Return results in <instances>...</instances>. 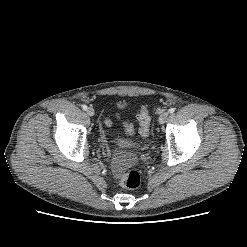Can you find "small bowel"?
I'll return each mask as SVG.
<instances>
[{
  "mask_svg": "<svg viewBox=\"0 0 247 247\" xmlns=\"http://www.w3.org/2000/svg\"><path fill=\"white\" fill-rule=\"evenodd\" d=\"M125 165V159L122 157H117L113 164V172L116 177L121 176Z\"/></svg>",
  "mask_w": 247,
  "mask_h": 247,
  "instance_id": "obj_1",
  "label": "small bowel"
}]
</instances>
